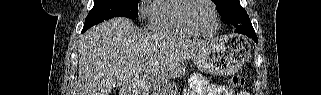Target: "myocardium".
I'll return each instance as SVG.
<instances>
[{"mask_svg": "<svg viewBox=\"0 0 321 95\" xmlns=\"http://www.w3.org/2000/svg\"><path fill=\"white\" fill-rule=\"evenodd\" d=\"M194 1H199V0H186L187 4L183 7V9L181 11V18H182L183 22L188 26L189 29H191L198 36H202V37L212 36L213 34L216 33L218 26H219L218 11L216 9L214 2L212 0H204L211 6V8L213 10L215 26L211 32L203 33L195 27V25L193 24V22L190 19V10L192 8V5L194 4Z\"/></svg>", "mask_w": 321, "mask_h": 95, "instance_id": "f54148a6", "label": "myocardium"}]
</instances>
